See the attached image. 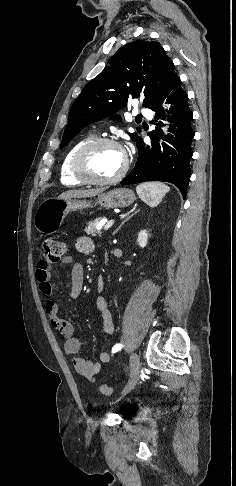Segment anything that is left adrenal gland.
Listing matches in <instances>:
<instances>
[{
  "label": "left adrenal gland",
  "instance_id": "1",
  "mask_svg": "<svg viewBox=\"0 0 236 486\" xmlns=\"http://www.w3.org/2000/svg\"><path fill=\"white\" fill-rule=\"evenodd\" d=\"M139 211H140V210L138 209V210H136L134 213H132L131 215H129V216H128V217H127V218H126V219H125V220H124V221H123L121 224H120V226H119V227H118V228H117V229H116V230L113 232V235H115V234H116V233L119 231V229H120V228L123 226V224H124L126 221H128V220H129L131 217H133V215H135V214H136V213H138Z\"/></svg>",
  "mask_w": 236,
  "mask_h": 486
}]
</instances>
